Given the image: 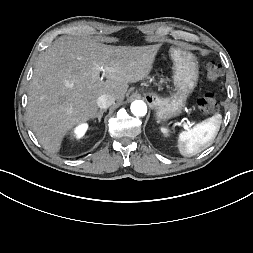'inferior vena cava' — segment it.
I'll use <instances>...</instances> for the list:
<instances>
[{"label": "inferior vena cava", "instance_id": "inferior-vena-cava-1", "mask_svg": "<svg viewBox=\"0 0 253 253\" xmlns=\"http://www.w3.org/2000/svg\"><path fill=\"white\" fill-rule=\"evenodd\" d=\"M115 102V98L112 95L103 94L97 98V106L101 109L110 107Z\"/></svg>", "mask_w": 253, "mask_h": 253}]
</instances>
